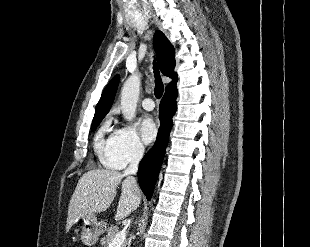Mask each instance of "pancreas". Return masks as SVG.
Masks as SVG:
<instances>
[{
  "instance_id": "obj_1",
  "label": "pancreas",
  "mask_w": 310,
  "mask_h": 247,
  "mask_svg": "<svg viewBox=\"0 0 310 247\" xmlns=\"http://www.w3.org/2000/svg\"><path fill=\"white\" fill-rule=\"evenodd\" d=\"M118 227L117 226H111L107 229V234L101 239V244L104 247H108L111 240L116 236L118 233ZM121 247H126V244L123 243Z\"/></svg>"
}]
</instances>
